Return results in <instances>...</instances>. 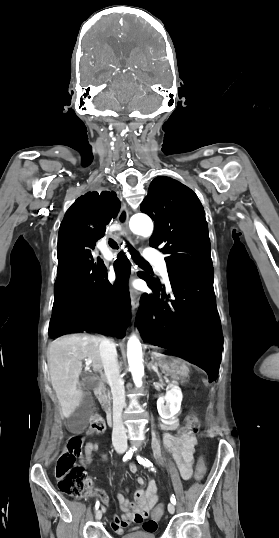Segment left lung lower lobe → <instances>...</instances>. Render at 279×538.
<instances>
[{"label": "left lung lower lobe", "instance_id": "0a47b994", "mask_svg": "<svg viewBox=\"0 0 279 538\" xmlns=\"http://www.w3.org/2000/svg\"><path fill=\"white\" fill-rule=\"evenodd\" d=\"M154 295L144 294L137 313L140 334L150 344L178 352L216 380L221 362L223 336L213 289V268L170 278L173 297L146 280ZM162 292V298L158 295Z\"/></svg>", "mask_w": 279, "mask_h": 538}]
</instances>
